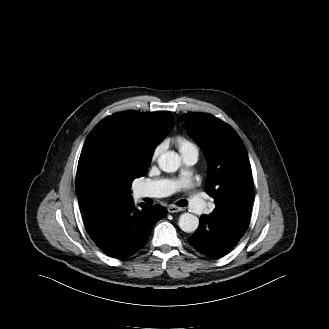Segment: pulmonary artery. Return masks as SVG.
Here are the masks:
<instances>
[{
	"label": "pulmonary artery",
	"mask_w": 329,
	"mask_h": 329,
	"mask_svg": "<svg viewBox=\"0 0 329 329\" xmlns=\"http://www.w3.org/2000/svg\"><path fill=\"white\" fill-rule=\"evenodd\" d=\"M199 151L196 146H194L189 152L182 155L184 161L188 165H193L198 160ZM190 180V174H183L178 180H169V179H159L152 180L145 183H142L137 188V196L140 198L150 197V198H159L169 196L174 193L179 188L185 186ZM189 208L193 212H201L205 208L204 201L195 195H190L187 200Z\"/></svg>",
	"instance_id": "e3ab8cb5"
}]
</instances>
